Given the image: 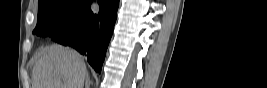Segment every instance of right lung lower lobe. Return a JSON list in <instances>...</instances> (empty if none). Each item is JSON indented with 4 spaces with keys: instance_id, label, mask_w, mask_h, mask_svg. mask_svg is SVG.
Wrapping results in <instances>:
<instances>
[{
    "instance_id": "obj_1",
    "label": "right lung lower lobe",
    "mask_w": 267,
    "mask_h": 88,
    "mask_svg": "<svg viewBox=\"0 0 267 88\" xmlns=\"http://www.w3.org/2000/svg\"><path fill=\"white\" fill-rule=\"evenodd\" d=\"M99 13L88 7L80 19L52 40L68 45L87 56L89 64L100 73L117 17L119 0H98Z\"/></svg>"
}]
</instances>
